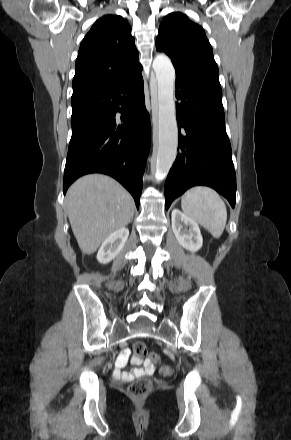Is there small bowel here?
<instances>
[{
	"label": "small bowel",
	"mask_w": 291,
	"mask_h": 440,
	"mask_svg": "<svg viewBox=\"0 0 291 440\" xmlns=\"http://www.w3.org/2000/svg\"><path fill=\"white\" fill-rule=\"evenodd\" d=\"M130 357V350L125 349L118 357L116 361V369H115V375L116 377L122 378V379H128L132 377H138V376H145V375H152L155 371L154 364L150 360H144L141 359H135L132 358L131 362L138 367L131 369L129 372H124L123 368L127 364Z\"/></svg>",
	"instance_id": "1"
}]
</instances>
